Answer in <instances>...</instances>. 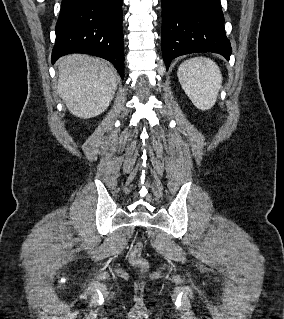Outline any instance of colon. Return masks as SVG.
Instances as JSON below:
<instances>
[{"instance_id": "5ec220e1", "label": "colon", "mask_w": 284, "mask_h": 319, "mask_svg": "<svg viewBox=\"0 0 284 319\" xmlns=\"http://www.w3.org/2000/svg\"><path fill=\"white\" fill-rule=\"evenodd\" d=\"M143 249L144 246L142 243L136 244L129 253L130 263L139 268L140 270H146L148 267L147 261L143 258Z\"/></svg>"}]
</instances>
